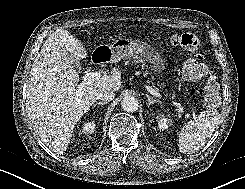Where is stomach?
I'll return each mask as SVG.
<instances>
[{"mask_svg":"<svg viewBox=\"0 0 245 189\" xmlns=\"http://www.w3.org/2000/svg\"><path fill=\"white\" fill-rule=\"evenodd\" d=\"M97 50L108 49L111 61H119L129 57H138L141 55L152 64L154 69L163 67V59L161 55L150 45L130 38H118L111 45H101Z\"/></svg>","mask_w":245,"mask_h":189,"instance_id":"stomach-1","label":"stomach"}]
</instances>
